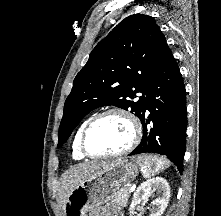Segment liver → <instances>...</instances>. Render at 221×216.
I'll list each match as a JSON object with an SVG mask.
<instances>
[{"instance_id":"6515ba94","label":"liver","mask_w":221,"mask_h":216,"mask_svg":"<svg viewBox=\"0 0 221 216\" xmlns=\"http://www.w3.org/2000/svg\"><path fill=\"white\" fill-rule=\"evenodd\" d=\"M105 163H97V162H87L79 164L75 167L67 170L61 179V189H60V203L65 205L67 198L71 191L79 185L84 179H86L89 175L100 169L104 166Z\"/></svg>"}]
</instances>
